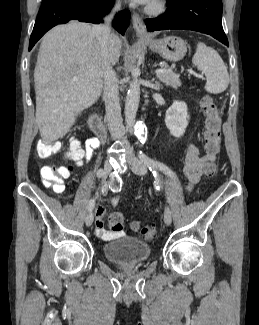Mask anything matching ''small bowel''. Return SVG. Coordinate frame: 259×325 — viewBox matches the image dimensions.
Wrapping results in <instances>:
<instances>
[{
	"label": "small bowel",
	"mask_w": 259,
	"mask_h": 325,
	"mask_svg": "<svg viewBox=\"0 0 259 325\" xmlns=\"http://www.w3.org/2000/svg\"><path fill=\"white\" fill-rule=\"evenodd\" d=\"M100 145H101V140L98 139L97 137L88 138L84 143V147L83 148L81 147L80 157L74 160L76 164L82 165L84 160L87 161L90 160L94 154V151L98 149ZM217 152L215 153L206 152L205 154L202 155L200 149L197 146L193 144L188 146L185 160H184V166H183V173L185 177L188 179V186H187L188 190H191L193 185L200 180L203 173H205L206 166L210 163H213ZM48 167L50 166L43 167L41 171H43ZM117 203H118V198L113 197L112 204L116 205ZM105 214H106L105 207L98 206L96 209V224H95L96 234L105 240L123 235L122 232L115 233L105 228L104 226Z\"/></svg>",
	"instance_id": "c3829d8e"
}]
</instances>
